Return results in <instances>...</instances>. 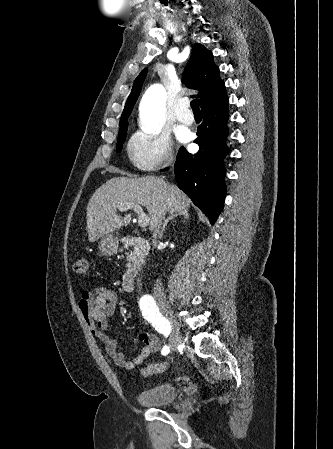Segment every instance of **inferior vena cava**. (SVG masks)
Masks as SVG:
<instances>
[{"label": "inferior vena cava", "mask_w": 333, "mask_h": 449, "mask_svg": "<svg viewBox=\"0 0 333 449\" xmlns=\"http://www.w3.org/2000/svg\"><path fill=\"white\" fill-rule=\"evenodd\" d=\"M164 216H165L164 210L160 211L159 214L157 215V220H156L155 226H154L155 230L153 233V244H156L157 236H158V234H160L159 228L162 223V220L164 219ZM154 298L158 302H161V303H164L166 300V297L164 295V292H163V289H162V286L160 283H156L154 286Z\"/></svg>", "instance_id": "602c4592"}]
</instances>
